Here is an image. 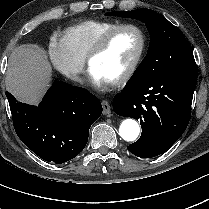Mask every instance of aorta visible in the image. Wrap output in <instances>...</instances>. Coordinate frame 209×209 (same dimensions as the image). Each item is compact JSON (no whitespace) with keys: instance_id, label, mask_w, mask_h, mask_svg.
I'll list each match as a JSON object with an SVG mask.
<instances>
[{"instance_id":"1","label":"aorta","mask_w":209,"mask_h":209,"mask_svg":"<svg viewBox=\"0 0 209 209\" xmlns=\"http://www.w3.org/2000/svg\"><path fill=\"white\" fill-rule=\"evenodd\" d=\"M140 133V127L136 120L125 119L119 127V134L125 141H134Z\"/></svg>"}]
</instances>
